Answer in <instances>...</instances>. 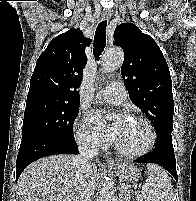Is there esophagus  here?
<instances>
[{"label": "esophagus", "mask_w": 196, "mask_h": 201, "mask_svg": "<svg viewBox=\"0 0 196 201\" xmlns=\"http://www.w3.org/2000/svg\"><path fill=\"white\" fill-rule=\"evenodd\" d=\"M111 10H109V9H104L103 11H102V16L104 17V18H106V19H108L110 16H111ZM106 164H108V165H112V164H114L113 163V161L112 160H110V159H107L106 160Z\"/></svg>", "instance_id": "1"}]
</instances>
